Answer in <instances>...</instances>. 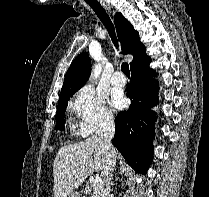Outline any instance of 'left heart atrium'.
Returning a JSON list of instances; mask_svg holds the SVG:
<instances>
[{"label": "left heart atrium", "mask_w": 209, "mask_h": 197, "mask_svg": "<svg viewBox=\"0 0 209 197\" xmlns=\"http://www.w3.org/2000/svg\"><path fill=\"white\" fill-rule=\"evenodd\" d=\"M115 107L121 109L126 105V99L122 95H117L113 99Z\"/></svg>", "instance_id": "obj_1"}]
</instances>
